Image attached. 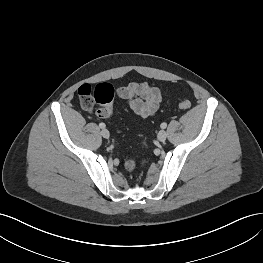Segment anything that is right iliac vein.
<instances>
[{
    "label": "right iliac vein",
    "mask_w": 263,
    "mask_h": 263,
    "mask_svg": "<svg viewBox=\"0 0 263 263\" xmlns=\"http://www.w3.org/2000/svg\"><path fill=\"white\" fill-rule=\"evenodd\" d=\"M101 135H102L104 138H106V139H108V138L110 137V133H109V131H108L107 129H102Z\"/></svg>",
    "instance_id": "63e3f726"
}]
</instances>
